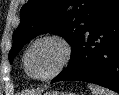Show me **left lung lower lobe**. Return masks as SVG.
<instances>
[{
  "label": "left lung lower lobe",
  "instance_id": "left-lung-lower-lobe-1",
  "mask_svg": "<svg viewBox=\"0 0 119 95\" xmlns=\"http://www.w3.org/2000/svg\"><path fill=\"white\" fill-rule=\"evenodd\" d=\"M79 80L119 93V0L96 16L75 51L72 63L52 83Z\"/></svg>",
  "mask_w": 119,
  "mask_h": 95
}]
</instances>
